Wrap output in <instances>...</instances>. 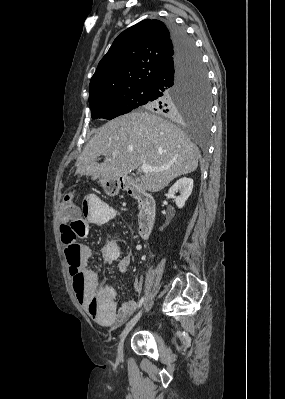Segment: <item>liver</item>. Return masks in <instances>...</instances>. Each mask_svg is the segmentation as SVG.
<instances>
[{"mask_svg":"<svg viewBox=\"0 0 285 399\" xmlns=\"http://www.w3.org/2000/svg\"><path fill=\"white\" fill-rule=\"evenodd\" d=\"M101 155L105 159L98 163ZM199 157L198 148L179 127L153 113L136 111L97 130L77 158L76 173L108 180L125 177L143 164L165 167L144 172L140 179L145 190L158 192L173 179L195 171Z\"/></svg>","mask_w":285,"mask_h":399,"instance_id":"liver-1","label":"liver"}]
</instances>
